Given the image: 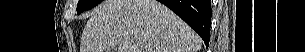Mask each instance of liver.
<instances>
[{
  "label": "liver",
  "instance_id": "obj_1",
  "mask_svg": "<svg viewBox=\"0 0 305 52\" xmlns=\"http://www.w3.org/2000/svg\"><path fill=\"white\" fill-rule=\"evenodd\" d=\"M202 40L156 0H105L90 14L80 52H198Z\"/></svg>",
  "mask_w": 305,
  "mask_h": 52
}]
</instances>
